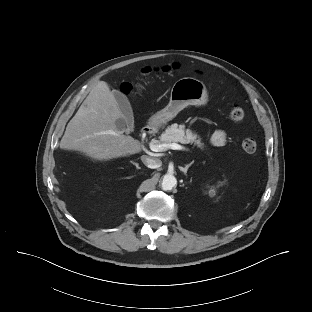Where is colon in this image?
Returning a JSON list of instances; mask_svg holds the SVG:
<instances>
[{"label": "colon", "instance_id": "colon-1", "mask_svg": "<svg viewBox=\"0 0 312 312\" xmlns=\"http://www.w3.org/2000/svg\"><path fill=\"white\" fill-rule=\"evenodd\" d=\"M174 67H170V66H165V67H162V68H151V67H148V68H145L142 70V75L145 77V76H149L153 73H157V72H164V73H167V72H170ZM141 90V87L137 84H134V83H130V82H126V83H123L121 85V91L126 94V95H130L136 91H140ZM246 117V110L245 108L240 105V104H232L230 106V109H229V118L233 121V122H241L245 119ZM241 147H242V150L245 152V153H248V154H253L256 152L257 150V143L256 141L251 138V137H245L244 139H242L241 141Z\"/></svg>", "mask_w": 312, "mask_h": 312}]
</instances>
